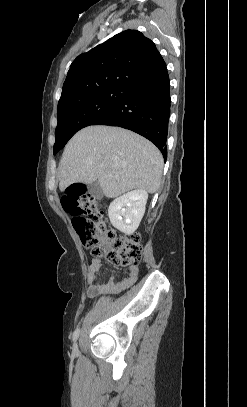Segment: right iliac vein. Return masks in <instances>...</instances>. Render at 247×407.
I'll use <instances>...</instances> for the list:
<instances>
[{
    "label": "right iliac vein",
    "instance_id": "obj_1",
    "mask_svg": "<svg viewBox=\"0 0 247 407\" xmlns=\"http://www.w3.org/2000/svg\"><path fill=\"white\" fill-rule=\"evenodd\" d=\"M78 351H79V349H78V344L75 343V344L73 345L72 352H73V354H77Z\"/></svg>",
    "mask_w": 247,
    "mask_h": 407
}]
</instances>
